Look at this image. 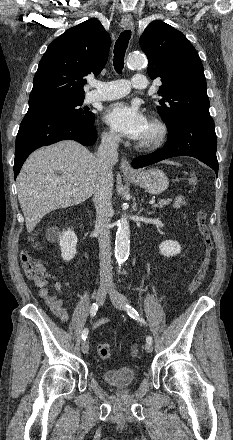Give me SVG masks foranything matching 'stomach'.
<instances>
[{
  "label": "stomach",
  "instance_id": "obj_1",
  "mask_svg": "<svg viewBox=\"0 0 233 440\" xmlns=\"http://www.w3.org/2000/svg\"><path fill=\"white\" fill-rule=\"evenodd\" d=\"M127 178L153 195L164 192L169 185L167 176L159 169L143 170L134 176L127 175Z\"/></svg>",
  "mask_w": 233,
  "mask_h": 440
}]
</instances>
